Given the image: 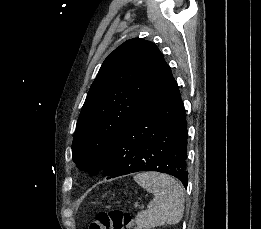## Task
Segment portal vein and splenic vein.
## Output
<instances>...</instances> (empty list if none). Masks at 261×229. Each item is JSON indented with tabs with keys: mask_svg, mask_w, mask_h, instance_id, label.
Returning <instances> with one entry per match:
<instances>
[{
	"mask_svg": "<svg viewBox=\"0 0 261 229\" xmlns=\"http://www.w3.org/2000/svg\"><path fill=\"white\" fill-rule=\"evenodd\" d=\"M133 207H134V208H138V207H139V204H138V203H134V204H133Z\"/></svg>",
	"mask_w": 261,
	"mask_h": 229,
	"instance_id": "portal-vein-and-splenic-vein-1",
	"label": "portal vein and splenic vein"
}]
</instances>
